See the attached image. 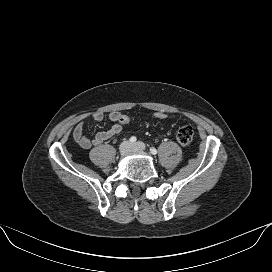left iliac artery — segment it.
<instances>
[{
  "label": "left iliac artery",
  "instance_id": "obj_1",
  "mask_svg": "<svg viewBox=\"0 0 272 272\" xmlns=\"http://www.w3.org/2000/svg\"><path fill=\"white\" fill-rule=\"evenodd\" d=\"M150 152L153 154V155H156L157 154V150L153 147L150 149Z\"/></svg>",
  "mask_w": 272,
  "mask_h": 272
}]
</instances>
